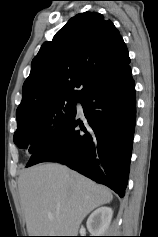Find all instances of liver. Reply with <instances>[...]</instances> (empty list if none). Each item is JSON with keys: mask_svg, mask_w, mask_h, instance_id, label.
Returning <instances> with one entry per match:
<instances>
[{"mask_svg": "<svg viewBox=\"0 0 158 237\" xmlns=\"http://www.w3.org/2000/svg\"><path fill=\"white\" fill-rule=\"evenodd\" d=\"M18 189L29 236H76L83 219L113 199L105 186L57 163L22 171Z\"/></svg>", "mask_w": 158, "mask_h": 237, "instance_id": "liver-1", "label": "liver"}]
</instances>
